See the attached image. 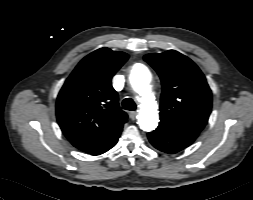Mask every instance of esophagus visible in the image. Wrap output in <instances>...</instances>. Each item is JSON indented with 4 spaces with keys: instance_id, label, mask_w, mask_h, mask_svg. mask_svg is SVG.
Here are the masks:
<instances>
[{
    "instance_id": "obj_1",
    "label": "esophagus",
    "mask_w": 253,
    "mask_h": 200,
    "mask_svg": "<svg viewBox=\"0 0 253 200\" xmlns=\"http://www.w3.org/2000/svg\"><path fill=\"white\" fill-rule=\"evenodd\" d=\"M136 115H137V113L135 111H132V112L129 113V117L131 118V120H135Z\"/></svg>"
}]
</instances>
